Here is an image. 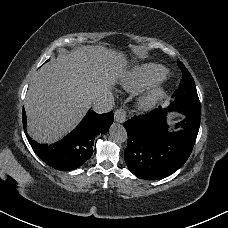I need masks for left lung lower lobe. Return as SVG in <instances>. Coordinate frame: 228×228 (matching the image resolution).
<instances>
[{
    "label": "left lung lower lobe",
    "mask_w": 228,
    "mask_h": 228,
    "mask_svg": "<svg viewBox=\"0 0 228 228\" xmlns=\"http://www.w3.org/2000/svg\"><path fill=\"white\" fill-rule=\"evenodd\" d=\"M167 109L134 116L124 123L128 142L124 152L129 170L146 180H159L176 172L190 156L199 131L201 115L184 114L178 123V132H169L166 122Z\"/></svg>",
    "instance_id": "0a47b994"
}]
</instances>
